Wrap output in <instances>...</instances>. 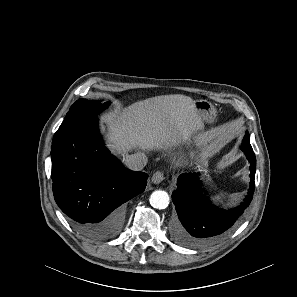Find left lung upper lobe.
Masks as SVG:
<instances>
[{"mask_svg": "<svg viewBox=\"0 0 297 297\" xmlns=\"http://www.w3.org/2000/svg\"><path fill=\"white\" fill-rule=\"evenodd\" d=\"M241 149L242 150H248V151H253L250 142H249V133L246 132L243 141H242V145H241Z\"/></svg>", "mask_w": 297, "mask_h": 297, "instance_id": "obj_1", "label": "left lung upper lobe"}]
</instances>
